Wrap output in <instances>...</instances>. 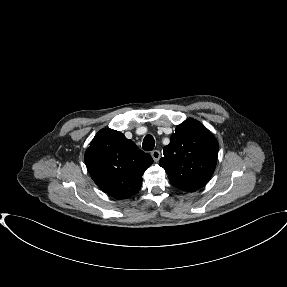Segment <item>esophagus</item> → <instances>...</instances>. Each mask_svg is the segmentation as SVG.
Returning a JSON list of instances; mask_svg holds the SVG:
<instances>
[{
  "label": "esophagus",
  "mask_w": 287,
  "mask_h": 287,
  "mask_svg": "<svg viewBox=\"0 0 287 287\" xmlns=\"http://www.w3.org/2000/svg\"><path fill=\"white\" fill-rule=\"evenodd\" d=\"M160 152L158 151V150H154V151H152V153H151V156H152V158H153V160L155 161V162H157V161H159V159H160Z\"/></svg>",
  "instance_id": "obj_1"
}]
</instances>
